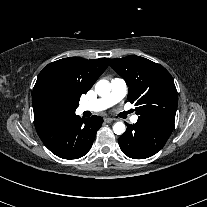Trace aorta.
<instances>
[{
    "label": "aorta",
    "instance_id": "aorta-1",
    "mask_svg": "<svg viewBox=\"0 0 207 207\" xmlns=\"http://www.w3.org/2000/svg\"><path fill=\"white\" fill-rule=\"evenodd\" d=\"M95 91L101 97L108 96L111 91V85L107 80H100L96 83ZM113 131L117 135L123 134L125 132V124L116 122L113 126Z\"/></svg>",
    "mask_w": 207,
    "mask_h": 207
}]
</instances>
